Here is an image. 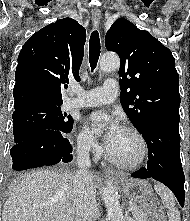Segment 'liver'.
Masks as SVG:
<instances>
[{
  "instance_id": "liver-1",
  "label": "liver",
  "mask_w": 190,
  "mask_h": 221,
  "mask_svg": "<svg viewBox=\"0 0 190 221\" xmlns=\"http://www.w3.org/2000/svg\"><path fill=\"white\" fill-rule=\"evenodd\" d=\"M74 176L67 171L41 169L15 180L2 210V221H74ZM93 186L97 178L92 177Z\"/></svg>"
}]
</instances>
